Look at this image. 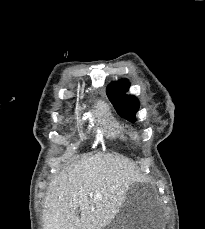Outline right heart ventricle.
<instances>
[{
  "label": "right heart ventricle",
  "instance_id": "right-heart-ventricle-1",
  "mask_svg": "<svg viewBox=\"0 0 205 229\" xmlns=\"http://www.w3.org/2000/svg\"><path fill=\"white\" fill-rule=\"evenodd\" d=\"M98 109L102 115L109 111V107L105 103H100ZM105 124V132L107 137L120 141L128 140L130 132L127 125H125L123 122L114 117H106Z\"/></svg>",
  "mask_w": 205,
  "mask_h": 229
}]
</instances>
